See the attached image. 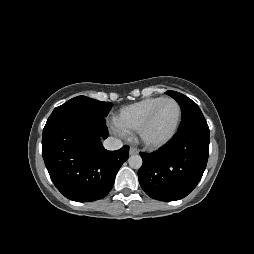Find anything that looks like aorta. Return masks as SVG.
Instances as JSON below:
<instances>
[{
  "label": "aorta",
  "instance_id": "1",
  "mask_svg": "<svg viewBox=\"0 0 254 254\" xmlns=\"http://www.w3.org/2000/svg\"><path fill=\"white\" fill-rule=\"evenodd\" d=\"M129 166L133 169H139L142 166V158L140 155H132L128 159Z\"/></svg>",
  "mask_w": 254,
  "mask_h": 254
}]
</instances>
